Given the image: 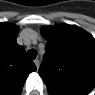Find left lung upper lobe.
<instances>
[{"label":"left lung upper lobe","instance_id":"obj_1","mask_svg":"<svg viewBox=\"0 0 95 95\" xmlns=\"http://www.w3.org/2000/svg\"><path fill=\"white\" fill-rule=\"evenodd\" d=\"M47 65L39 75L50 95H84L95 86V40L78 26L45 27Z\"/></svg>","mask_w":95,"mask_h":95}]
</instances>
